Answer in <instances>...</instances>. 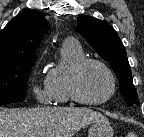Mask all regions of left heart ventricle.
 <instances>
[{
  "label": "left heart ventricle",
  "mask_w": 144,
  "mask_h": 137,
  "mask_svg": "<svg viewBox=\"0 0 144 137\" xmlns=\"http://www.w3.org/2000/svg\"><path fill=\"white\" fill-rule=\"evenodd\" d=\"M82 95L89 100H100L111 90V82L107 73L98 65H89L79 79Z\"/></svg>",
  "instance_id": "obj_1"
}]
</instances>
